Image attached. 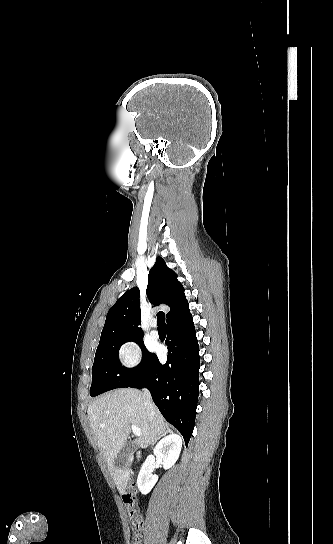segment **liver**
I'll list each match as a JSON object with an SVG mask.
<instances>
[{
    "label": "liver",
    "mask_w": 333,
    "mask_h": 544,
    "mask_svg": "<svg viewBox=\"0 0 333 544\" xmlns=\"http://www.w3.org/2000/svg\"><path fill=\"white\" fill-rule=\"evenodd\" d=\"M87 413L97 445L117 489L124 493L133 456L123 468L115 466L114 461L130 435V425L134 424L141 430L134 444L146 448L167 433L164 418L155 407L154 418L150 420L142 392L131 388L116 389L100 396L89 405Z\"/></svg>",
    "instance_id": "1"
}]
</instances>
